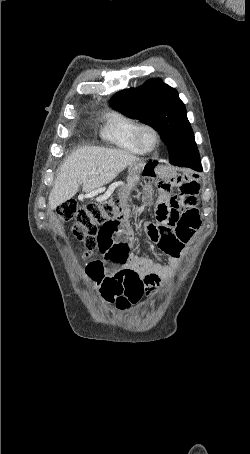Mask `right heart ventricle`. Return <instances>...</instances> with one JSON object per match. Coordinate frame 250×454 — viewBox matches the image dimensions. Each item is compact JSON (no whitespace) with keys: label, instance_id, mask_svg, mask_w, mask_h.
Instances as JSON below:
<instances>
[{"label":"right heart ventricle","instance_id":"right-heart-ventricle-1","mask_svg":"<svg viewBox=\"0 0 250 454\" xmlns=\"http://www.w3.org/2000/svg\"><path fill=\"white\" fill-rule=\"evenodd\" d=\"M139 123L120 112H111L106 116L100 135L103 140L116 148L131 154L142 155L145 152L136 142L135 133Z\"/></svg>","mask_w":250,"mask_h":454}]
</instances>
